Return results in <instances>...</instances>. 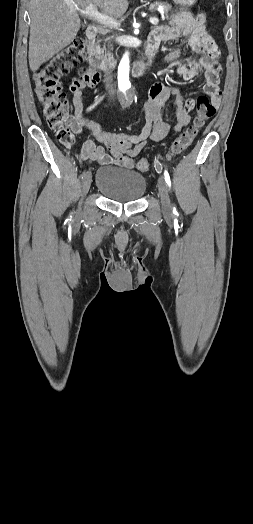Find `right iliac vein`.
<instances>
[{
  "instance_id": "63e3f726",
  "label": "right iliac vein",
  "mask_w": 253,
  "mask_h": 524,
  "mask_svg": "<svg viewBox=\"0 0 253 524\" xmlns=\"http://www.w3.org/2000/svg\"><path fill=\"white\" fill-rule=\"evenodd\" d=\"M91 172H86L85 178L82 181V198L80 201V204H82V200L85 197V195L88 193L90 186H91Z\"/></svg>"
}]
</instances>
